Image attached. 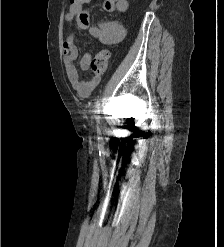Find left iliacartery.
I'll use <instances>...</instances> for the list:
<instances>
[{
	"mask_svg": "<svg viewBox=\"0 0 224 247\" xmlns=\"http://www.w3.org/2000/svg\"><path fill=\"white\" fill-rule=\"evenodd\" d=\"M94 118L96 119L97 124L100 123V100L98 99L95 103V109H94ZM97 129L99 130V127H97Z\"/></svg>",
	"mask_w": 224,
	"mask_h": 247,
	"instance_id": "left-iliac-artery-1",
	"label": "left iliac artery"
}]
</instances>
